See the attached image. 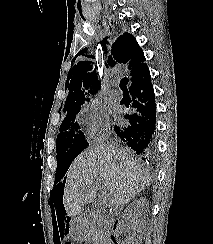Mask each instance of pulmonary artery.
I'll use <instances>...</instances> for the list:
<instances>
[{
    "instance_id": "e3ab8cb5",
    "label": "pulmonary artery",
    "mask_w": 213,
    "mask_h": 244,
    "mask_svg": "<svg viewBox=\"0 0 213 244\" xmlns=\"http://www.w3.org/2000/svg\"><path fill=\"white\" fill-rule=\"evenodd\" d=\"M111 95L115 98V99H121V92L117 89H112L111 90Z\"/></svg>"
}]
</instances>
